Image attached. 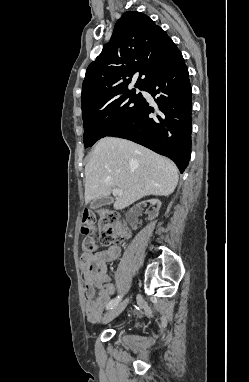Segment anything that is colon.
<instances>
[{
    "instance_id": "5ec220e1",
    "label": "colon",
    "mask_w": 249,
    "mask_h": 382,
    "mask_svg": "<svg viewBox=\"0 0 249 382\" xmlns=\"http://www.w3.org/2000/svg\"><path fill=\"white\" fill-rule=\"evenodd\" d=\"M96 224L100 226V243L102 245L121 243L129 233L127 224L120 221L116 215L110 212L103 210L97 212L84 211L81 221L82 233H90ZM82 247L85 252L91 253L96 250L97 242L92 237H86L82 242Z\"/></svg>"
}]
</instances>
